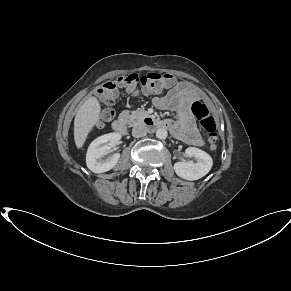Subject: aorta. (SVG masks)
<instances>
[{
	"instance_id": "762f6f07",
	"label": "aorta",
	"mask_w": 291,
	"mask_h": 291,
	"mask_svg": "<svg viewBox=\"0 0 291 291\" xmlns=\"http://www.w3.org/2000/svg\"><path fill=\"white\" fill-rule=\"evenodd\" d=\"M167 136H168L167 130L164 129V128H160V129H158V130L156 131V137H157L158 139L163 140V139H166Z\"/></svg>"
}]
</instances>
